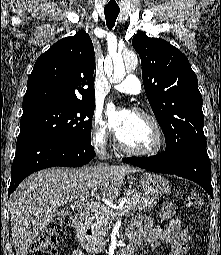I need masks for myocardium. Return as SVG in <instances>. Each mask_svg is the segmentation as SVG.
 <instances>
[{
	"mask_svg": "<svg viewBox=\"0 0 221 255\" xmlns=\"http://www.w3.org/2000/svg\"><path fill=\"white\" fill-rule=\"evenodd\" d=\"M132 113H134L140 117H143L148 122H150V124L154 128L155 135H156L155 144L148 149H134V148L125 146L120 141L119 137L116 135L115 136V144H116L117 148L119 150H121L122 152L127 153L129 155H133V156L147 157V156H154V155L159 154L162 151L164 144H165L164 132L162 130L160 123L158 122V120L156 119L155 116H153L152 114H150L142 109L135 108L132 110Z\"/></svg>",
	"mask_w": 221,
	"mask_h": 255,
	"instance_id": "myocardium-1",
	"label": "myocardium"
}]
</instances>
